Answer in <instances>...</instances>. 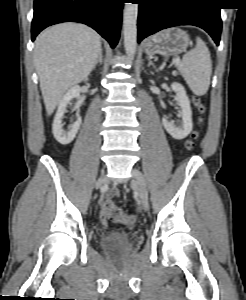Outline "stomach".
<instances>
[{"label": "stomach", "instance_id": "0dacf381", "mask_svg": "<svg viewBox=\"0 0 246 300\" xmlns=\"http://www.w3.org/2000/svg\"><path fill=\"white\" fill-rule=\"evenodd\" d=\"M189 44V35L182 29L173 27L152 35L145 43V52L150 56L177 55L186 51Z\"/></svg>", "mask_w": 246, "mask_h": 300}]
</instances>
